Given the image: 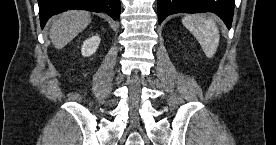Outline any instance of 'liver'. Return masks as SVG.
<instances>
[{
	"label": "liver",
	"mask_w": 276,
	"mask_h": 145,
	"mask_svg": "<svg viewBox=\"0 0 276 145\" xmlns=\"http://www.w3.org/2000/svg\"><path fill=\"white\" fill-rule=\"evenodd\" d=\"M91 22L87 11H67L54 18L51 23L50 39L56 49H62L83 31Z\"/></svg>",
	"instance_id": "obj_1"
}]
</instances>
